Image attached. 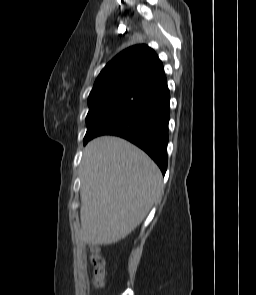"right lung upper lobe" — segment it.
<instances>
[{
  "instance_id": "obj_1",
  "label": "right lung upper lobe",
  "mask_w": 256,
  "mask_h": 295,
  "mask_svg": "<svg viewBox=\"0 0 256 295\" xmlns=\"http://www.w3.org/2000/svg\"><path fill=\"white\" fill-rule=\"evenodd\" d=\"M162 62L147 45H135L115 56L101 71L88 105L125 96H138L164 76Z\"/></svg>"
}]
</instances>
